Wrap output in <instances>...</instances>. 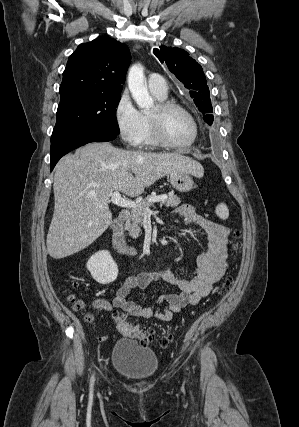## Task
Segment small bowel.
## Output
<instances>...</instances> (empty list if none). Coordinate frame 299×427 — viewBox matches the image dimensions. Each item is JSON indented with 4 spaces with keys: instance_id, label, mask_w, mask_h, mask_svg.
<instances>
[{
    "instance_id": "1",
    "label": "small bowel",
    "mask_w": 299,
    "mask_h": 427,
    "mask_svg": "<svg viewBox=\"0 0 299 427\" xmlns=\"http://www.w3.org/2000/svg\"><path fill=\"white\" fill-rule=\"evenodd\" d=\"M173 215L186 225L200 228L207 237L208 249L198 255L194 277L181 278L167 268L130 275L117 289L112 303L105 299L96 302L99 309L112 311L113 308H119L136 318L170 321L182 308L197 305L202 298L210 294L214 284L222 278L227 269L230 230L202 217L189 204L176 207ZM157 281L174 285L179 292L161 294L156 305L152 307H144L128 299L133 289H145Z\"/></svg>"
}]
</instances>
